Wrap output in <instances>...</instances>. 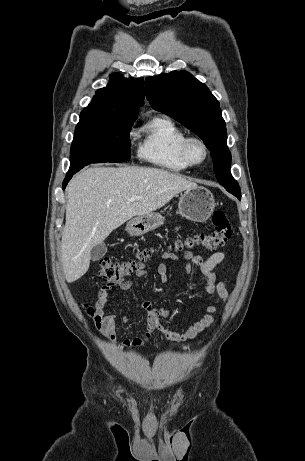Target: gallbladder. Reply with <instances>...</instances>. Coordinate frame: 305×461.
<instances>
[{"label": "gallbladder", "mask_w": 305, "mask_h": 461, "mask_svg": "<svg viewBox=\"0 0 305 461\" xmlns=\"http://www.w3.org/2000/svg\"><path fill=\"white\" fill-rule=\"evenodd\" d=\"M107 252V246L105 243H100L94 246L90 253V258L92 261L100 260Z\"/></svg>", "instance_id": "obj_1"}]
</instances>
